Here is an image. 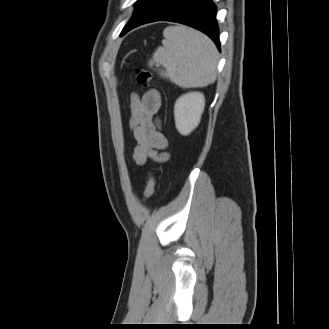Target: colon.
Returning a JSON list of instances; mask_svg holds the SVG:
<instances>
[{
	"instance_id": "colon-1",
	"label": "colon",
	"mask_w": 329,
	"mask_h": 329,
	"mask_svg": "<svg viewBox=\"0 0 329 329\" xmlns=\"http://www.w3.org/2000/svg\"><path fill=\"white\" fill-rule=\"evenodd\" d=\"M134 75H135L136 81L140 85H142L144 87H148L151 84V73L147 69L142 68V67H136L134 69ZM156 185H157L156 177L153 173H150L148 176V179H147L146 186L142 193V198L144 200H148L149 198L152 197V195L155 192Z\"/></svg>"
}]
</instances>
